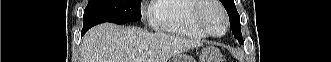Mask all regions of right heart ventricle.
<instances>
[{
	"mask_svg": "<svg viewBox=\"0 0 331 62\" xmlns=\"http://www.w3.org/2000/svg\"><path fill=\"white\" fill-rule=\"evenodd\" d=\"M198 0H159L152 10V18L158 27L168 33L192 39L207 37L192 20V14Z\"/></svg>",
	"mask_w": 331,
	"mask_h": 62,
	"instance_id": "1",
	"label": "right heart ventricle"
}]
</instances>
